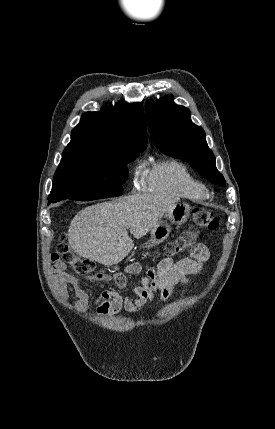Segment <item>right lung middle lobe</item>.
<instances>
[{
  "mask_svg": "<svg viewBox=\"0 0 275 429\" xmlns=\"http://www.w3.org/2000/svg\"><path fill=\"white\" fill-rule=\"evenodd\" d=\"M139 152L112 157L62 158L54 175L50 202L89 201L120 196L128 178L127 163Z\"/></svg>",
  "mask_w": 275,
  "mask_h": 429,
  "instance_id": "dd1d6c3e",
  "label": "right lung middle lobe"
}]
</instances>
